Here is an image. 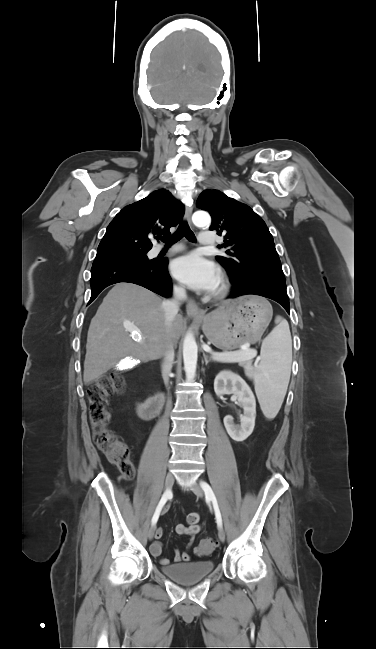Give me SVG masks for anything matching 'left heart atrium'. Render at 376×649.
Listing matches in <instances>:
<instances>
[{
	"instance_id": "39dd6f15",
	"label": "left heart atrium",
	"mask_w": 376,
	"mask_h": 649,
	"mask_svg": "<svg viewBox=\"0 0 376 649\" xmlns=\"http://www.w3.org/2000/svg\"><path fill=\"white\" fill-rule=\"evenodd\" d=\"M171 271L179 282L195 290H213L220 278L218 267L195 253L175 259Z\"/></svg>"
}]
</instances>
